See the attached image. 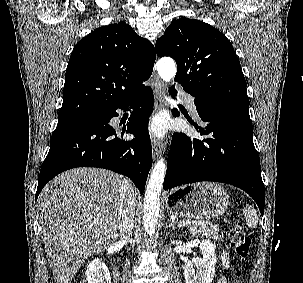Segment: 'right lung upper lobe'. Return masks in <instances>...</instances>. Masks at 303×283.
Instances as JSON below:
<instances>
[{
  "label": "right lung upper lobe",
  "mask_w": 303,
  "mask_h": 283,
  "mask_svg": "<svg viewBox=\"0 0 303 283\" xmlns=\"http://www.w3.org/2000/svg\"><path fill=\"white\" fill-rule=\"evenodd\" d=\"M156 51L125 22L95 29L74 47L66 69L58 117L102 111L145 87Z\"/></svg>",
  "instance_id": "1"
}]
</instances>
